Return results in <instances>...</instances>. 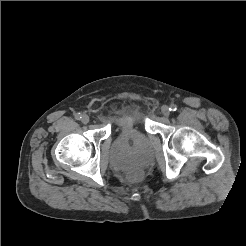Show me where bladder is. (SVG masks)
Returning a JSON list of instances; mask_svg holds the SVG:
<instances>
[{"label": "bladder", "instance_id": "obj_1", "mask_svg": "<svg viewBox=\"0 0 246 246\" xmlns=\"http://www.w3.org/2000/svg\"><path fill=\"white\" fill-rule=\"evenodd\" d=\"M141 123V116L136 111H129L121 115L117 120L118 128L123 132L129 130L130 128L139 125ZM149 153H139L132 158H122L114 156L113 160L115 164L120 168H125L130 165H143L149 161Z\"/></svg>", "mask_w": 246, "mask_h": 246}]
</instances>
